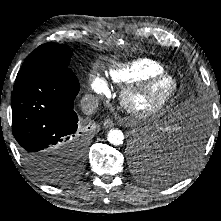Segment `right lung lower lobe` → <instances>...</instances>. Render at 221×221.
<instances>
[{
	"instance_id": "98d812e1",
	"label": "right lung lower lobe",
	"mask_w": 221,
	"mask_h": 221,
	"mask_svg": "<svg viewBox=\"0 0 221 221\" xmlns=\"http://www.w3.org/2000/svg\"><path fill=\"white\" fill-rule=\"evenodd\" d=\"M78 92L72 71L36 76L12 91V132L34 168L47 170L61 161L82 164L87 144L73 109Z\"/></svg>"
}]
</instances>
